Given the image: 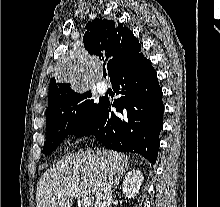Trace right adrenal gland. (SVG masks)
<instances>
[{
  "label": "right adrenal gland",
  "mask_w": 220,
  "mask_h": 207,
  "mask_svg": "<svg viewBox=\"0 0 220 207\" xmlns=\"http://www.w3.org/2000/svg\"><path fill=\"white\" fill-rule=\"evenodd\" d=\"M125 173V170L123 172L118 173L115 178H114V190L117 188V186L119 185L120 179L123 176V174Z\"/></svg>",
  "instance_id": "right-adrenal-gland-1"
}]
</instances>
